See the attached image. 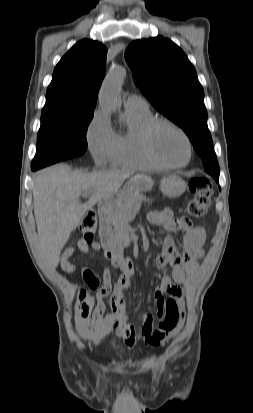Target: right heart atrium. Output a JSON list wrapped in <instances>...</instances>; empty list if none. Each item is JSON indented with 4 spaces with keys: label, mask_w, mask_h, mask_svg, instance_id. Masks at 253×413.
Wrapping results in <instances>:
<instances>
[{
    "label": "right heart atrium",
    "mask_w": 253,
    "mask_h": 413,
    "mask_svg": "<svg viewBox=\"0 0 253 413\" xmlns=\"http://www.w3.org/2000/svg\"><path fill=\"white\" fill-rule=\"evenodd\" d=\"M87 143L96 165L102 166L109 162L116 136L104 112L95 113L87 130Z\"/></svg>",
    "instance_id": "obj_1"
}]
</instances>
